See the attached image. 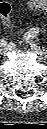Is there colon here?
Segmentation results:
<instances>
[{"mask_svg":"<svg viewBox=\"0 0 47 129\" xmlns=\"http://www.w3.org/2000/svg\"><path fill=\"white\" fill-rule=\"evenodd\" d=\"M28 6L34 12H42L47 8V0H28ZM0 17L2 19L3 24L7 27H11L10 21V6L7 3L0 4ZM25 41H29L27 37H25Z\"/></svg>","mask_w":47,"mask_h":129,"instance_id":"obj_1","label":"colon"}]
</instances>
